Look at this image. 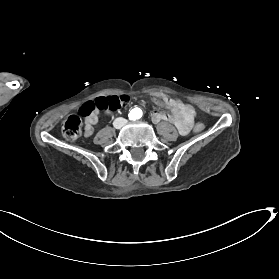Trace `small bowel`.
I'll return each instance as SVG.
<instances>
[{"instance_id": "obj_1", "label": "small bowel", "mask_w": 279, "mask_h": 279, "mask_svg": "<svg viewBox=\"0 0 279 279\" xmlns=\"http://www.w3.org/2000/svg\"><path fill=\"white\" fill-rule=\"evenodd\" d=\"M154 101L160 106L171 109V114L162 111H153L151 114L154 122L169 121L175 125L181 135H187L194 124V116H192L180 101L170 98L165 94H157ZM99 110H94L85 117V135L89 136L93 132V126L98 122Z\"/></svg>"}]
</instances>
